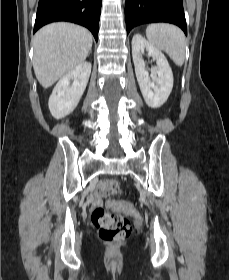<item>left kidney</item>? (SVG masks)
Returning <instances> with one entry per match:
<instances>
[{"label":"left kidney","instance_id":"5707ae66","mask_svg":"<svg viewBox=\"0 0 229 280\" xmlns=\"http://www.w3.org/2000/svg\"><path fill=\"white\" fill-rule=\"evenodd\" d=\"M145 50L156 61L150 76L142 58ZM132 56L137 81L146 104L151 108H159L168 99L174 80L165 55L140 34H136L132 39Z\"/></svg>","mask_w":229,"mask_h":280}]
</instances>
